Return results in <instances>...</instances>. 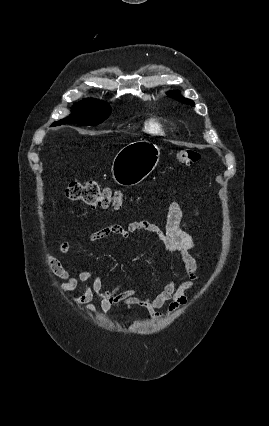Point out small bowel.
I'll return each instance as SVG.
<instances>
[{
    "label": "small bowel",
    "mask_w": 269,
    "mask_h": 426,
    "mask_svg": "<svg viewBox=\"0 0 269 426\" xmlns=\"http://www.w3.org/2000/svg\"><path fill=\"white\" fill-rule=\"evenodd\" d=\"M191 213L194 216L199 215V211L195 208L191 209ZM182 215L180 205L177 202H171L166 212L165 229L150 221L137 220L126 226L116 224L105 226L88 235L86 241L91 243L112 235L127 239L132 234L139 232L152 234L162 242L165 252L180 258L188 277L186 281L177 282L170 279L162 290L153 297L139 296L135 289H124L122 284L106 290L102 278L93 270L84 269L74 275L66 269L60 260L49 254L47 263L51 271L61 280L56 283L57 286L64 292H70L82 285L83 293L74 297L73 302L76 305L83 306L85 311L90 314L109 313L115 305L119 304L142 309L154 319H162L165 315L175 312L187 304L186 292L193 289L199 279L197 260L192 253L196 243L182 229ZM69 250V241H63L60 244V252L67 255ZM94 297L99 299L98 306L92 303ZM164 306H167L166 312L161 311Z\"/></svg>",
    "instance_id": "1"
}]
</instances>
